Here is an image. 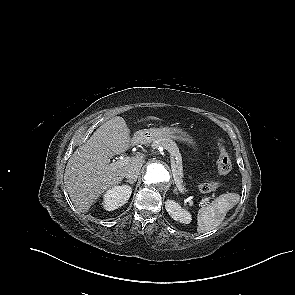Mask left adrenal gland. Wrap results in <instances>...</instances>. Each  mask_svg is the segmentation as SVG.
<instances>
[{
	"mask_svg": "<svg viewBox=\"0 0 295 295\" xmlns=\"http://www.w3.org/2000/svg\"><path fill=\"white\" fill-rule=\"evenodd\" d=\"M173 192L177 194V188L176 187L174 188Z\"/></svg>",
	"mask_w": 295,
	"mask_h": 295,
	"instance_id": "a2214340",
	"label": "left adrenal gland"
}]
</instances>
